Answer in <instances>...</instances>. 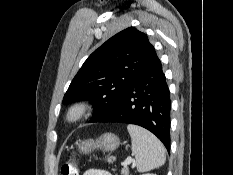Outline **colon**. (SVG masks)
Here are the masks:
<instances>
[{"mask_svg":"<svg viewBox=\"0 0 233 175\" xmlns=\"http://www.w3.org/2000/svg\"><path fill=\"white\" fill-rule=\"evenodd\" d=\"M59 175H80L79 164L76 157H72L62 165Z\"/></svg>","mask_w":233,"mask_h":175,"instance_id":"obj_1","label":"colon"}]
</instances>
